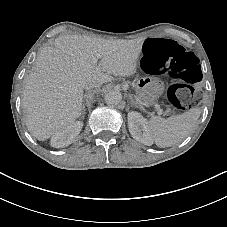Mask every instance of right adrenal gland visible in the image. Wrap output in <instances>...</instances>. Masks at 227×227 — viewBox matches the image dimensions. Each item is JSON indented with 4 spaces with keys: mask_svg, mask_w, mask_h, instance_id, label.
<instances>
[{
    "mask_svg": "<svg viewBox=\"0 0 227 227\" xmlns=\"http://www.w3.org/2000/svg\"><path fill=\"white\" fill-rule=\"evenodd\" d=\"M82 107H83V111H82V119H84V115H85V113H86V112H85V111H86V109H85V105H84V104L82 105Z\"/></svg>",
    "mask_w": 227,
    "mask_h": 227,
    "instance_id": "1",
    "label": "right adrenal gland"
}]
</instances>
